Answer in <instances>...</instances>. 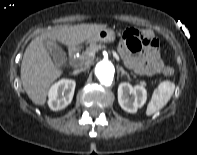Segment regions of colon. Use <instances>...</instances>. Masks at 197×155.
I'll list each match as a JSON object with an SVG mask.
<instances>
[{
	"instance_id": "obj_1",
	"label": "colon",
	"mask_w": 197,
	"mask_h": 155,
	"mask_svg": "<svg viewBox=\"0 0 197 155\" xmlns=\"http://www.w3.org/2000/svg\"><path fill=\"white\" fill-rule=\"evenodd\" d=\"M124 39L127 41L128 48L137 52L143 49L144 47L157 46V40L153 36H144L141 32L135 28H128L123 34ZM174 70L171 67H166L164 69L165 75H172Z\"/></svg>"
}]
</instances>
